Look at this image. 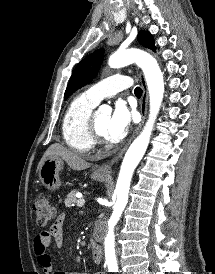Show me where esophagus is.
Here are the masks:
<instances>
[{
  "instance_id": "obj_1",
  "label": "esophagus",
  "mask_w": 215,
  "mask_h": 274,
  "mask_svg": "<svg viewBox=\"0 0 215 274\" xmlns=\"http://www.w3.org/2000/svg\"><path fill=\"white\" fill-rule=\"evenodd\" d=\"M140 81H141V84H142V88H143V95H142V99H141V102H140V112H141V122L139 123V125L137 126V128L135 129L130 141L128 142V144L131 142V140L138 134L139 130L141 129L143 123H144V120H145V117H146V113H147V106H148V89H147V85H146V81H145V78L142 74H140ZM128 144H126L124 146V148L121 149V151L111 160L109 161L108 163L102 165L101 167H99L96 172L99 174V175H102V176H110L111 173H112V167L113 165L118 162V160L120 158H122L125 150L127 149L128 147Z\"/></svg>"
}]
</instances>
